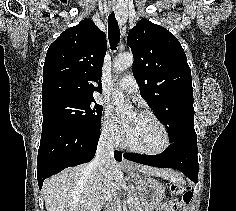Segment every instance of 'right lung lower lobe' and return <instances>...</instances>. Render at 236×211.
I'll list each match as a JSON object with an SVG mask.
<instances>
[{"mask_svg":"<svg viewBox=\"0 0 236 211\" xmlns=\"http://www.w3.org/2000/svg\"><path fill=\"white\" fill-rule=\"evenodd\" d=\"M100 131L87 130L67 124L51 123L42 125L38 150L37 179L39 189L43 181L63 169L86 163L95 155ZM117 161L122 153L114 152Z\"/></svg>","mask_w":236,"mask_h":211,"instance_id":"1","label":"right lung lower lobe"}]
</instances>
